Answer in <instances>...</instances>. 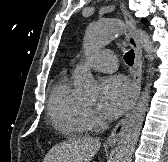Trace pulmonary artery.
<instances>
[{
  "instance_id": "pulmonary-artery-1",
  "label": "pulmonary artery",
  "mask_w": 168,
  "mask_h": 162,
  "mask_svg": "<svg viewBox=\"0 0 168 162\" xmlns=\"http://www.w3.org/2000/svg\"><path fill=\"white\" fill-rule=\"evenodd\" d=\"M86 65L94 70L109 73L117 69L118 60L113 51L103 50L90 56Z\"/></svg>"
}]
</instances>
